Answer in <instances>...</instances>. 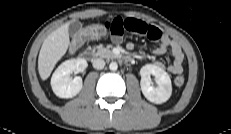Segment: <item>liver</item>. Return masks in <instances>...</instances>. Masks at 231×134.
<instances>
[{"label":"liver","mask_w":231,"mask_h":134,"mask_svg":"<svg viewBox=\"0 0 231 134\" xmlns=\"http://www.w3.org/2000/svg\"><path fill=\"white\" fill-rule=\"evenodd\" d=\"M69 25L65 23L50 33L44 40L38 56V71L42 80H46L56 63L64 56L69 44Z\"/></svg>","instance_id":"obj_1"}]
</instances>
